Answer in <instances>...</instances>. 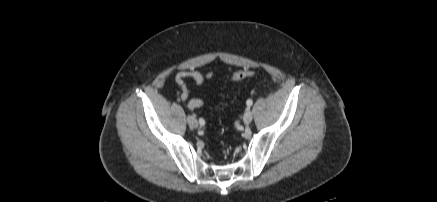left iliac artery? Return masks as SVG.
Masks as SVG:
<instances>
[{"label":"left iliac artery","mask_w":437,"mask_h":202,"mask_svg":"<svg viewBox=\"0 0 437 202\" xmlns=\"http://www.w3.org/2000/svg\"><path fill=\"white\" fill-rule=\"evenodd\" d=\"M252 103H253V102H252L251 99H248L247 102H246V104H247L249 107L252 105Z\"/></svg>","instance_id":"obj_1"}]
</instances>
